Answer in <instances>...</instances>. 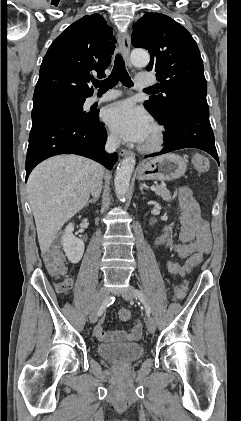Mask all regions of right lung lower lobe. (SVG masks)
Wrapping results in <instances>:
<instances>
[{
	"label": "right lung lower lobe",
	"mask_w": 241,
	"mask_h": 421,
	"mask_svg": "<svg viewBox=\"0 0 241 421\" xmlns=\"http://www.w3.org/2000/svg\"><path fill=\"white\" fill-rule=\"evenodd\" d=\"M77 102L52 108L32 117V128L26 157V180L32 169L41 161L59 154H77L93 159L108 169L117 161V154H107L104 145L107 132L99 121L98 113L92 118L81 117Z\"/></svg>",
	"instance_id": "obj_1"
}]
</instances>
